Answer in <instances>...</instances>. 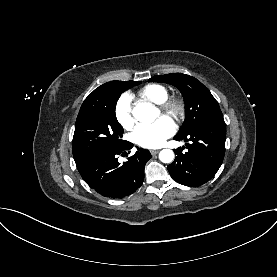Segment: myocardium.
Listing matches in <instances>:
<instances>
[{
	"label": "myocardium",
	"instance_id": "myocardium-1",
	"mask_svg": "<svg viewBox=\"0 0 277 277\" xmlns=\"http://www.w3.org/2000/svg\"><path fill=\"white\" fill-rule=\"evenodd\" d=\"M158 110L163 117L179 122L185 116L186 107L182 98L168 97L164 102L158 105Z\"/></svg>",
	"mask_w": 277,
	"mask_h": 277
}]
</instances>
